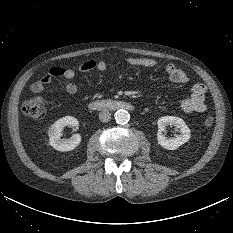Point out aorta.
<instances>
[{"instance_id": "aorta-1", "label": "aorta", "mask_w": 233, "mask_h": 233, "mask_svg": "<svg viewBox=\"0 0 233 233\" xmlns=\"http://www.w3.org/2000/svg\"><path fill=\"white\" fill-rule=\"evenodd\" d=\"M115 120L118 124H127L130 120V114L123 109L117 110L115 113Z\"/></svg>"}]
</instances>
